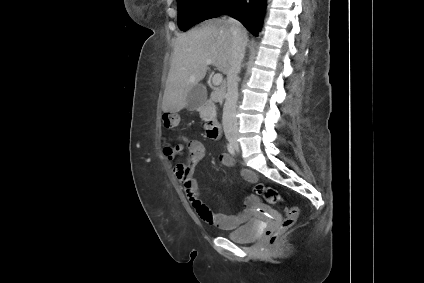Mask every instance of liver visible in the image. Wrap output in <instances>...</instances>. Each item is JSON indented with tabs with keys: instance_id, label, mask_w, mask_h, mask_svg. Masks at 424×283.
Segmentation results:
<instances>
[{
	"instance_id": "liver-1",
	"label": "liver",
	"mask_w": 424,
	"mask_h": 283,
	"mask_svg": "<svg viewBox=\"0 0 424 283\" xmlns=\"http://www.w3.org/2000/svg\"><path fill=\"white\" fill-rule=\"evenodd\" d=\"M232 43L226 18L206 20L199 27L178 35L163 96V112H179L187 106L188 93L206 75L207 60L227 75Z\"/></svg>"
}]
</instances>
